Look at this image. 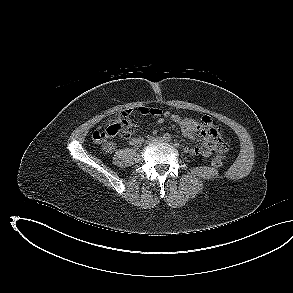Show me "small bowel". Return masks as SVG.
Instances as JSON below:
<instances>
[{"label": "small bowel", "instance_id": "small-bowel-1", "mask_svg": "<svg viewBox=\"0 0 293 293\" xmlns=\"http://www.w3.org/2000/svg\"><path fill=\"white\" fill-rule=\"evenodd\" d=\"M136 112L157 117L160 123L164 120L177 123L186 138L201 142V145L189 149V153L193 156L201 155L209 157L216 154L217 157H221L228 149V144L224 141L220 128L208 116H203L198 121L191 117H181L170 111H161L158 108L145 106L139 107ZM128 141L131 145H138L143 142V138L140 135H133Z\"/></svg>", "mask_w": 293, "mask_h": 293}]
</instances>
